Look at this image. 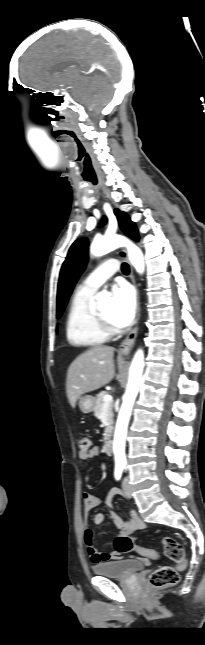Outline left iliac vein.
I'll return each mask as SVG.
<instances>
[{
	"label": "left iliac vein",
	"instance_id": "obj_1",
	"mask_svg": "<svg viewBox=\"0 0 205 645\" xmlns=\"http://www.w3.org/2000/svg\"><path fill=\"white\" fill-rule=\"evenodd\" d=\"M122 488H123V492H124L125 496L130 498L131 497V489H130V485H129V479H128L127 476L123 480Z\"/></svg>",
	"mask_w": 205,
	"mask_h": 645
}]
</instances>
